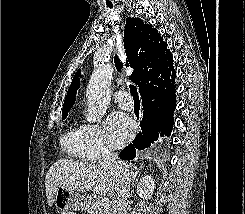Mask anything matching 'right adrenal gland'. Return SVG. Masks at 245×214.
Returning <instances> with one entry per match:
<instances>
[{
  "label": "right adrenal gland",
  "instance_id": "obj_1",
  "mask_svg": "<svg viewBox=\"0 0 245 214\" xmlns=\"http://www.w3.org/2000/svg\"><path fill=\"white\" fill-rule=\"evenodd\" d=\"M141 168H142V166L138 169H137V167H133V169H131V171H130L131 189L134 188L135 183L137 182L136 177H137V175H139Z\"/></svg>",
  "mask_w": 245,
  "mask_h": 214
}]
</instances>
